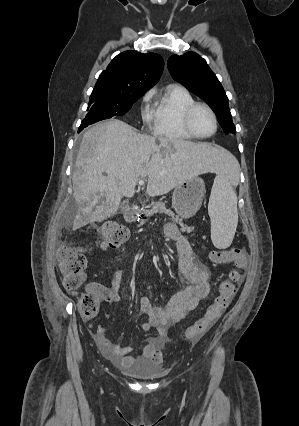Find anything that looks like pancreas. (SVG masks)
<instances>
[{
    "label": "pancreas",
    "mask_w": 299,
    "mask_h": 426,
    "mask_svg": "<svg viewBox=\"0 0 299 426\" xmlns=\"http://www.w3.org/2000/svg\"><path fill=\"white\" fill-rule=\"evenodd\" d=\"M149 209L144 211V215L146 217H150L156 213L167 214L172 217V219L181 226V230L183 232H191L193 231V227H188L183 224L182 220L178 216H174V213L168 209L163 202H152L149 206Z\"/></svg>",
    "instance_id": "cf45deb5"
}]
</instances>
